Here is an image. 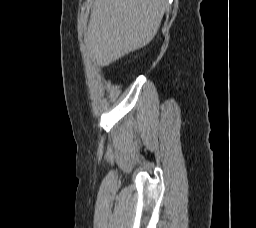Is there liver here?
<instances>
[{"label":"liver","mask_w":256,"mask_h":228,"mask_svg":"<svg viewBox=\"0 0 256 228\" xmlns=\"http://www.w3.org/2000/svg\"><path fill=\"white\" fill-rule=\"evenodd\" d=\"M166 0H95L87 34L89 56L106 66L149 44L156 35Z\"/></svg>","instance_id":"liver-1"}]
</instances>
